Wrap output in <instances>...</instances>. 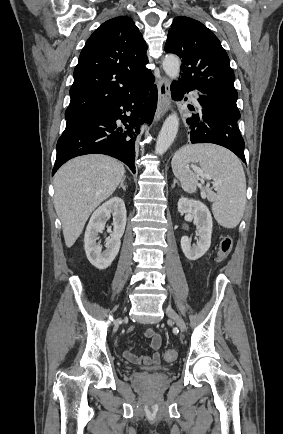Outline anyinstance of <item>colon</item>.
Instances as JSON below:
<instances>
[{
    "instance_id": "obj_1",
    "label": "colon",
    "mask_w": 283,
    "mask_h": 434,
    "mask_svg": "<svg viewBox=\"0 0 283 434\" xmlns=\"http://www.w3.org/2000/svg\"><path fill=\"white\" fill-rule=\"evenodd\" d=\"M233 248V239L230 236H226L224 237L219 245L218 248V253H217V260L218 262H222L224 260H226ZM178 357V352L176 349H167L164 353H163V359L165 362L167 363H171L173 361H175Z\"/></svg>"
}]
</instances>
